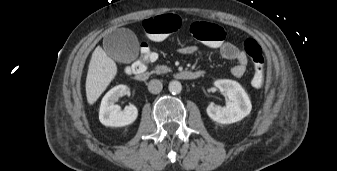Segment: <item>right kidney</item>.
<instances>
[{"label": "right kidney", "instance_id": "obj_1", "mask_svg": "<svg viewBox=\"0 0 337 171\" xmlns=\"http://www.w3.org/2000/svg\"><path fill=\"white\" fill-rule=\"evenodd\" d=\"M125 94V85L115 86L105 94L99 110V120L103 125L121 127L132 124L136 120L138 110L134 105L126 106L121 110L120 106L115 104L118 98Z\"/></svg>", "mask_w": 337, "mask_h": 171}]
</instances>
